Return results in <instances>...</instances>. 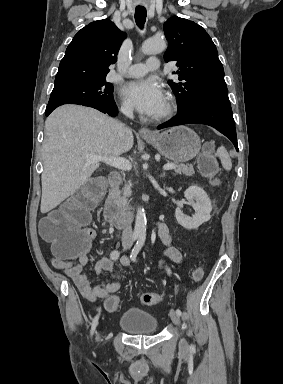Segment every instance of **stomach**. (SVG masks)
I'll use <instances>...</instances> for the list:
<instances>
[{"label": "stomach", "mask_w": 283, "mask_h": 384, "mask_svg": "<svg viewBox=\"0 0 283 384\" xmlns=\"http://www.w3.org/2000/svg\"><path fill=\"white\" fill-rule=\"evenodd\" d=\"M144 140L172 162H188L199 154L201 148L199 136L186 126H176L163 134H156L155 138H144Z\"/></svg>", "instance_id": "1"}]
</instances>
